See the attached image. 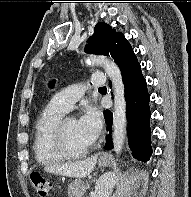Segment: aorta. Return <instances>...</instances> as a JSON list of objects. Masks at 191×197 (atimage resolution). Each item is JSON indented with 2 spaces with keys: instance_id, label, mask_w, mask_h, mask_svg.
<instances>
[{
  "instance_id": "obj_1",
  "label": "aorta",
  "mask_w": 191,
  "mask_h": 197,
  "mask_svg": "<svg viewBox=\"0 0 191 197\" xmlns=\"http://www.w3.org/2000/svg\"><path fill=\"white\" fill-rule=\"evenodd\" d=\"M88 64L102 66L110 78L114 91L113 144L117 155L122 152L126 137L127 117L125 88L119 67L104 56H91Z\"/></svg>"
}]
</instances>
